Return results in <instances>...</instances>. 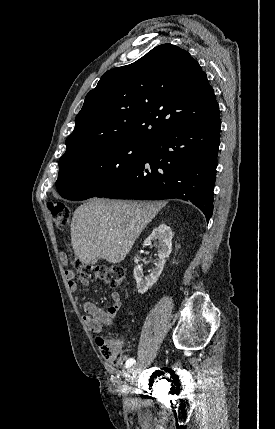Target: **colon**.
Listing matches in <instances>:
<instances>
[{"label": "colon", "mask_w": 275, "mask_h": 429, "mask_svg": "<svg viewBox=\"0 0 275 429\" xmlns=\"http://www.w3.org/2000/svg\"><path fill=\"white\" fill-rule=\"evenodd\" d=\"M48 209L52 215L54 224L57 228H65L69 224L70 210L62 202H48ZM60 259L63 264H66L68 258L62 253ZM73 266L83 279L98 280L106 283L112 288L122 286L125 279V270L117 264L111 265H91L85 264L79 259L73 260ZM100 354L104 361L112 366H118L122 363L123 345L120 338L110 336H99L96 339Z\"/></svg>", "instance_id": "colon-1"}]
</instances>
